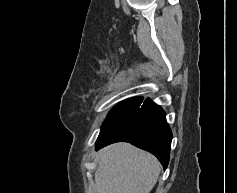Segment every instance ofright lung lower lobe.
<instances>
[{
	"label": "right lung lower lobe",
	"instance_id": "1",
	"mask_svg": "<svg viewBox=\"0 0 237 193\" xmlns=\"http://www.w3.org/2000/svg\"><path fill=\"white\" fill-rule=\"evenodd\" d=\"M143 97L125 100L114 107L101 127L96 150L115 142H129L155 155L167 168L172 132L162 108Z\"/></svg>",
	"mask_w": 237,
	"mask_h": 193
}]
</instances>
